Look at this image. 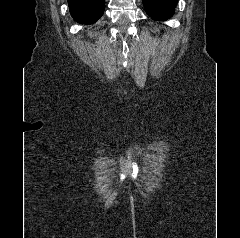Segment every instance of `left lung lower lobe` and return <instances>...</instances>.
Segmentation results:
<instances>
[{
	"label": "left lung lower lobe",
	"mask_w": 240,
	"mask_h": 238,
	"mask_svg": "<svg viewBox=\"0 0 240 238\" xmlns=\"http://www.w3.org/2000/svg\"><path fill=\"white\" fill-rule=\"evenodd\" d=\"M178 0H143L147 14L155 20H166L174 14Z\"/></svg>",
	"instance_id": "obj_1"
}]
</instances>
